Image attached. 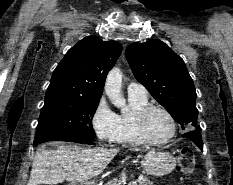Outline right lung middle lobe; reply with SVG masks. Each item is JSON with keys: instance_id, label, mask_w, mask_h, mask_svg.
<instances>
[{"instance_id": "1", "label": "right lung middle lobe", "mask_w": 233, "mask_h": 185, "mask_svg": "<svg viewBox=\"0 0 233 185\" xmlns=\"http://www.w3.org/2000/svg\"><path fill=\"white\" fill-rule=\"evenodd\" d=\"M99 98L64 93H46L34 144L62 140L87 143L95 138L92 118Z\"/></svg>"}]
</instances>
